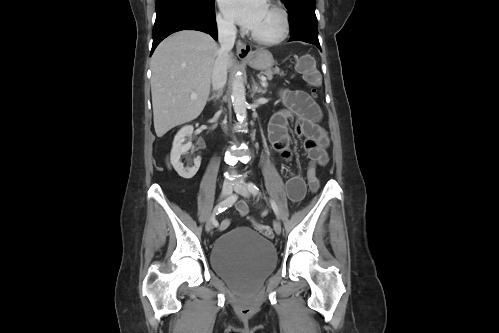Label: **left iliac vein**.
Wrapping results in <instances>:
<instances>
[{"mask_svg":"<svg viewBox=\"0 0 499 333\" xmlns=\"http://www.w3.org/2000/svg\"><path fill=\"white\" fill-rule=\"evenodd\" d=\"M234 189H235L236 193L240 194L243 197H249V195H250L248 187L246 184H239V185L235 186ZM273 227H274L275 233L279 235L281 233V224L278 221H274Z\"/></svg>","mask_w":499,"mask_h":333,"instance_id":"obj_1","label":"left iliac vein"}]
</instances>
